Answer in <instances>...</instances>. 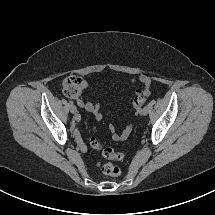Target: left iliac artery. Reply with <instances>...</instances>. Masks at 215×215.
<instances>
[{"mask_svg":"<svg viewBox=\"0 0 215 215\" xmlns=\"http://www.w3.org/2000/svg\"><path fill=\"white\" fill-rule=\"evenodd\" d=\"M143 111L142 107L136 108V113H141Z\"/></svg>","mask_w":215,"mask_h":215,"instance_id":"obj_1","label":"left iliac artery"}]
</instances>
